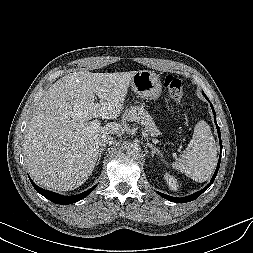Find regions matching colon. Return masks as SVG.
Returning a JSON list of instances; mask_svg holds the SVG:
<instances>
[{
  "label": "colon",
  "mask_w": 253,
  "mask_h": 253,
  "mask_svg": "<svg viewBox=\"0 0 253 253\" xmlns=\"http://www.w3.org/2000/svg\"><path fill=\"white\" fill-rule=\"evenodd\" d=\"M164 85L167 88L170 96L176 101L181 102L184 97L183 81L174 75H167L164 79Z\"/></svg>",
  "instance_id": "1"
}]
</instances>
